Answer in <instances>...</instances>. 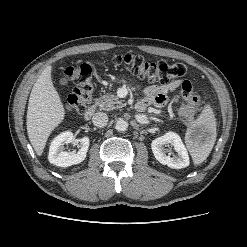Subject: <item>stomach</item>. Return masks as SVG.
I'll return each mask as SVG.
<instances>
[{
    "label": "stomach",
    "instance_id": "0dacf381",
    "mask_svg": "<svg viewBox=\"0 0 247 247\" xmlns=\"http://www.w3.org/2000/svg\"><path fill=\"white\" fill-rule=\"evenodd\" d=\"M195 127H194V124H192V126L190 127V129H194Z\"/></svg>",
    "mask_w": 247,
    "mask_h": 247
}]
</instances>
